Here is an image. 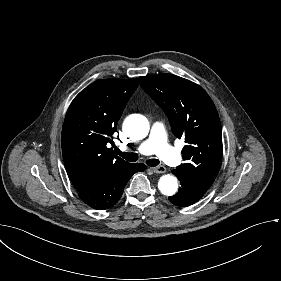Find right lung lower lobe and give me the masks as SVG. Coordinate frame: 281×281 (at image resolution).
Returning a JSON list of instances; mask_svg holds the SVG:
<instances>
[{"mask_svg": "<svg viewBox=\"0 0 281 281\" xmlns=\"http://www.w3.org/2000/svg\"><path fill=\"white\" fill-rule=\"evenodd\" d=\"M145 169L146 166L142 163L133 164L130 168L110 177L98 186L79 192V197L94 209H108L118 202L131 176Z\"/></svg>", "mask_w": 281, "mask_h": 281, "instance_id": "obj_1", "label": "right lung lower lobe"}]
</instances>
